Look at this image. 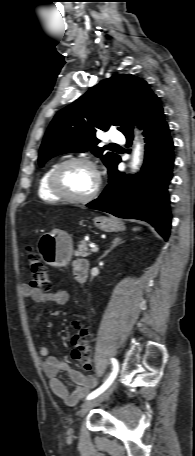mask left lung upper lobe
Here are the masks:
<instances>
[{
	"instance_id": "obj_1",
	"label": "left lung upper lobe",
	"mask_w": 195,
	"mask_h": 456,
	"mask_svg": "<svg viewBox=\"0 0 195 456\" xmlns=\"http://www.w3.org/2000/svg\"><path fill=\"white\" fill-rule=\"evenodd\" d=\"M154 96L146 81L130 74H116L102 80L56 114L40 147L39 165L43 166L60 154L90 150L110 170L119 156L112 152L103 153L107 147L97 146L96 131H106L114 125L124 134L138 112Z\"/></svg>"
}]
</instances>
